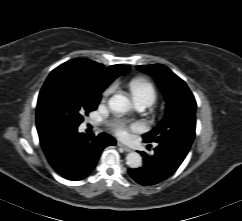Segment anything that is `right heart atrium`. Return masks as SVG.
<instances>
[{
    "instance_id": "d8ad5b80",
    "label": "right heart atrium",
    "mask_w": 242,
    "mask_h": 221,
    "mask_svg": "<svg viewBox=\"0 0 242 221\" xmlns=\"http://www.w3.org/2000/svg\"><path fill=\"white\" fill-rule=\"evenodd\" d=\"M115 90V86H109L105 92H104V96H109L110 94H112Z\"/></svg>"
}]
</instances>
